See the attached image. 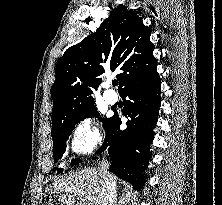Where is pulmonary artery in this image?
<instances>
[{
    "label": "pulmonary artery",
    "instance_id": "e3ab8cb5",
    "mask_svg": "<svg viewBox=\"0 0 222 205\" xmlns=\"http://www.w3.org/2000/svg\"><path fill=\"white\" fill-rule=\"evenodd\" d=\"M103 97L109 104H114L117 101V94L109 89L104 90Z\"/></svg>",
    "mask_w": 222,
    "mask_h": 205
}]
</instances>
